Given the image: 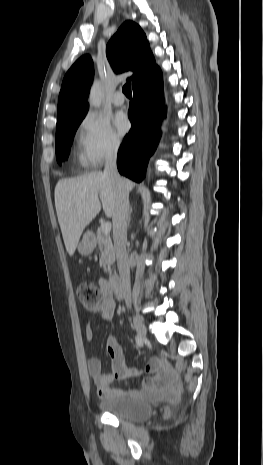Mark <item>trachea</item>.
<instances>
[{
  "mask_svg": "<svg viewBox=\"0 0 263 465\" xmlns=\"http://www.w3.org/2000/svg\"><path fill=\"white\" fill-rule=\"evenodd\" d=\"M122 91H123V93H124L126 96H132V93H131V82L126 83V84L123 86Z\"/></svg>",
  "mask_w": 263,
  "mask_h": 465,
  "instance_id": "1",
  "label": "trachea"
}]
</instances>
